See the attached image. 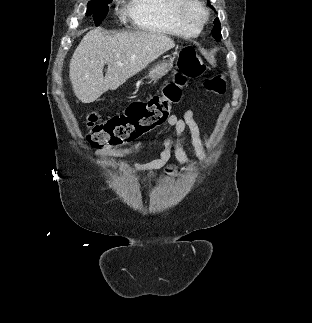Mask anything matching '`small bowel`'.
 I'll return each mask as SVG.
<instances>
[{"instance_id": "obj_1", "label": "small bowel", "mask_w": 312, "mask_h": 323, "mask_svg": "<svg viewBox=\"0 0 312 323\" xmlns=\"http://www.w3.org/2000/svg\"><path fill=\"white\" fill-rule=\"evenodd\" d=\"M167 125L169 130L174 132L175 139L165 138L163 141L164 149L160 152L159 156L148 162L133 163L129 167L130 173L147 172L149 177H154L160 169L167 165L172 156L184 168H189L190 158L182 144V138L186 131L188 132L190 144L196 158L201 161L205 159L210 142L205 124L202 120L198 119L196 111L187 110L182 116L171 113L167 119ZM141 147V142H135L124 148L104 149L99 155H131L138 152Z\"/></svg>"}]
</instances>
